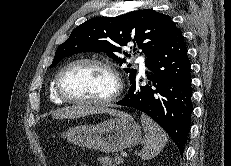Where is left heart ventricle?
<instances>
[{
  "label": "left heart ventricle",
  "mask_w": 231,
  "mask_h": 166,
  "mask_svg": "<svg viewBox=\"0 0 231 166\" xmlns=\"http://www.w3.org/2000/svg\"><path fill=\"white\" fill-rule=\"evenodd\" d=\"M61 87L71 98L101 99L112 93L114 80L111 74L101 66L79 64L63 73Z\"/></svg>",
  "instance_id": "obj_1"
}]
</instances>
